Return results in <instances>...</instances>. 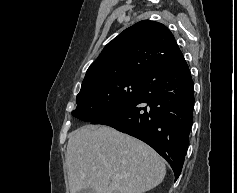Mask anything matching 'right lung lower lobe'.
I'll list each match as a JSON object with an SVG mask.
<instances>
[{"mask_svg": "<svg viewBox=\"0 0 237 193\" xmlns=\"http://www.w3.org/2000/svg\"><path fill=\"white\" fill-rule=\"evenodd\" d=\"M193 80L181 51L160 60L138 94L123 107L90 121L136 137L166 159L179 177L193 122Z\"/></svg>", "mask_w": 237, "mask_h": 193, "instance_id": "obj_1", "label": "right lung lower lobe"}]
</instances>
